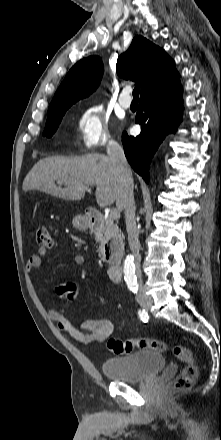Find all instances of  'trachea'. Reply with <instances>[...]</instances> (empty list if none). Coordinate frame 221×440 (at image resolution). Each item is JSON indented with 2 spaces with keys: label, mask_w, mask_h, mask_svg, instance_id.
Listing matches in <instances>:
<instances>
[{
  "label": "trachea",
  "mask_w": 221,
  "mask_h": 440,
  "mask_svg": "<svg viewBox=\"0 0 221 440\" xmlns=\"http://www.w3.org/2000/svg\"><path fill=\"white\" fill-rule=\"evenodd\" d=\"M139 98V88H135L133 90V99H138Z\"/></svg>",
  "instance_id": "obj_1"
}]
</instances>
